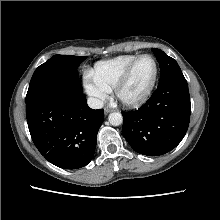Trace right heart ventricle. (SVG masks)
I'll return each mask as SVG.
<instances>
[{"mask_svg":"<svg viewBox=\"0 0 220 220\" xmlns=\"http://www.w3.org/2000/svg\"><path fill=\"white\" fill-rule=\"evenodd\" d=\"M137 57L138 55H122L98 62L94 68V76L100 83L111 90Z\"/></svg>","mask_w":220,"mask_h":220,"instance_id":"obj_1","label":"right heart ventricle"}]
</instances>
